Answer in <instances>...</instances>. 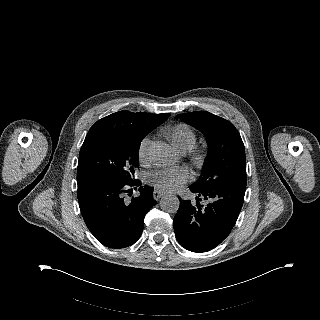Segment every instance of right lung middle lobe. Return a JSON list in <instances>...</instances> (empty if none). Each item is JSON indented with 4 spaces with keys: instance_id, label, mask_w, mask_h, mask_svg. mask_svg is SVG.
<instances>
[{
    "instance_id": "dd1d6c3e",
    "label": "right lung middle lobe",
    "mask_w": 320,
    "mask_h": 320,
    "mask_svg": "<svg viewBox=\"0 0 320 320\" xmlns=\"http://www.w3.org/2000/svg\"><path fill=\"white\" fill-rule=\"evenodd\" d=\"M141 141L106 139L80 150L78 173L97 172L122 182L132 181L134 169L139 168Z\"/></svg>"
}]
</instances>
